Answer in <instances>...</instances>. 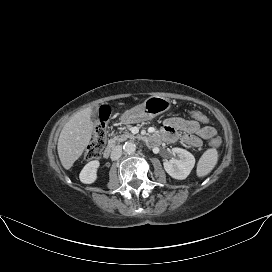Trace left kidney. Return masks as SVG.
Wrapping results in <instances>:
<instances>
[{"instance_id": "5707ae66", "label": "left kidney", "mask_w": 272, "mask_h": 272, "mask_svg": "<svg viewBox=\"0 0 272 272\" xmlns=\"http://www.w3.org/2000/svg\"><path fill=\"white\" fill-rule=\"evenodd\" d=\"M173 155H177L178 159L172 158L163 163L165 171L174 179H185L195 165L194 156L185 149L173 148Z\"/></svg>"}]
</instances>
